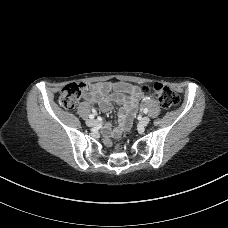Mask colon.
Masks as SVG:
<instances>
[{"mask_svg":"<svg viewBox=\"0 0 228 228\" xmlns=\"http://www.w3.org/2000/svg\"><path fill=\"white\" fill-rule=\"evenodd\" d=\"M88 89L89 87L85 83H71L66 85L60 92L59 104L65 109H72L88 92ZM142 91L148 92L149 88L145 86L142 88ZM153 92L161 107L165 110H171L179 103L177 94L163 84H154ZM116 149H119V146Z\"/></svg>","mask_w":228,"mask_h":228,"instance_id":"1","label":"colon"}]
</instances>
